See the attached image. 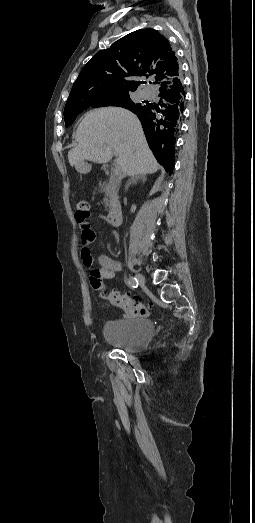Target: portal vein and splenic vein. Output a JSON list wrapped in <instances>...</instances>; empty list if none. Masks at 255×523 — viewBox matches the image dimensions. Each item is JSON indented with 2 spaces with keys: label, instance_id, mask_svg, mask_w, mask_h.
Here are the masks:
<instances>
[{
  "label": "portal vein and splenic vein",
  "instance_id": "1",
  "mask_svg": "<svg viewBox=\"0 0 255 523\" xmlns=\"http://www.w3.org/2000/svg\"><path fill=\"white\" fill-rule=\"evenodd\" d=\"M114 154H115V152H114ZM112 167H113L112 174L117 175L119 173V170H120L119 164L117 162H114L112 164Z\"/></svg>",
  "mask_w": 255,
  "mask_h": 523
}]
</instances>
